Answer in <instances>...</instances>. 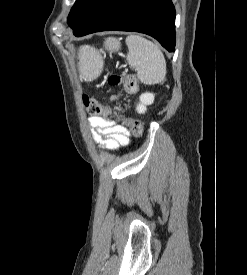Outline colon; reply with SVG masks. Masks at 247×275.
Here are the masks:
<instances>
[{
    "label": "colon",
    "instance_id": "1",
    "mask_svg": "<svg viewBox=\"0 0 247 275\" xmlns=\"http://www.w3.org/2000/svg\"><path fill=\"white\" fill-rule=\"evenodd\" d=\"M108 83L111 86H118L120 84H123L126 92H128V93H135L138 89L137 80L133 75L113 74V75L109 76ZM116 99H117V95H114L112 97V100H116ZM82 100H83V104L89 114L103 115L107 118H109L111 116L110 109L106 106H103L96 99L91 98L87 95H84ZM120 118H121L122 123L126 127H128L134 135H136V136L142 135L143 127L138 120L133 119V118L124 117V116H121Z\"/></svg>",
    "mask_w": 247,
    "mask_h": 275
}]
</instances>
